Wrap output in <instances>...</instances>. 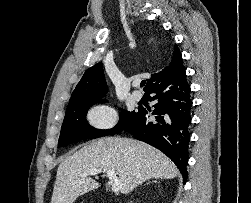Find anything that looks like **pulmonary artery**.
<instances>
[{"mask_svg": "<svg viewBox=\"0 0 251 203\" xmlns=\"http://www.w3.org/2000/svg\"><path fill=\"white\" fill-rule=\"evenodd\" d=\"M132 97L134 100L139 101L142 99V93L138 90L133 91Z\"/></svg>", "mask_w": 251, "mask_h": 203, "instance_id": "obj_1", "label": "pulmonary artery"}]
</instances>
